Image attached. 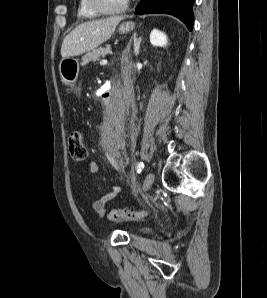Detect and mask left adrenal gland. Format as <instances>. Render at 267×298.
<instances>
[{
    "instance_id": "1",
    "label": "left adrenal gland",
    "mask_w": 267,
    "mask_h": 298,
    "mask_svg": "<svg viewBox=\"0 0 267 298\" xmlns=\"http://www.w3.org/2000/svg\"><path fill=\"white\" fill-rule=\"evenodd\" d=\"M141 40H142V38H141V37L137 38V35H136V33H135V34L131 37V39H130V41H129V43H128V45H127L125 51H124L125 55H128V54H129V52H130V47H131V43H132V41H133V42H134V53H135V56H138L139 51H140V43H141Z\"/></svg>"
}]
</instances>
